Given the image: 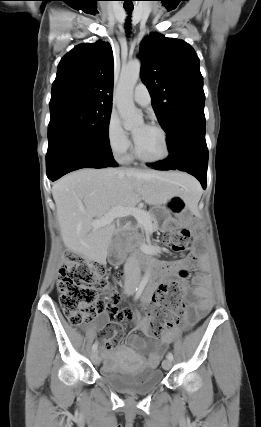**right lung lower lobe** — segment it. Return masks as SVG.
<instances>
[{"instance_id": "obj_1", "label": "right lung lower lobe", "mask_w": 261, "mask_h": 427, "mask_svg": "<svg viewBox=\"0 0 261 427\" xmlns=\"http://www.w3.org/2000/svg\"><path fill=\"white\" fill-rule=\"evenodd\" d=\"M116 165L110 146H94L71 141L48 145L46 167L47 177L51 181L81 168H106Z\"/></svg>"}]
</instances>
